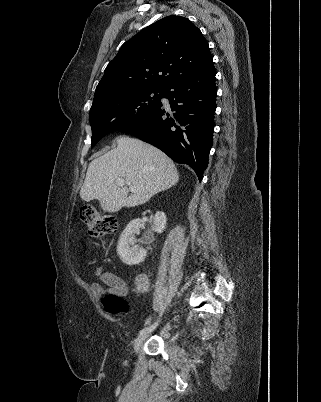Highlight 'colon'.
<instances>
[{"label":"colon","mask_w":321,"mask_h":402,"mask_svg":"<svg viewBox=\"0 0 321 402\" xmlns=\"http://www.w3.org/2000/svg\"><path fill=\"white\" fill-rule=\"evenodd\" d=\"M79 219L86 225L88 234L93 239L115 233L118 229V220L113 215L97 210L95 207H82L78 211ZM105 310L113 315L128 313L129 306L123 296L109 294L103 300Z\"/></svg>","instance_id":"1"}]
</instances>
